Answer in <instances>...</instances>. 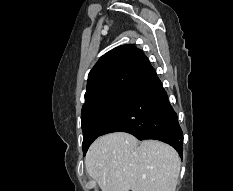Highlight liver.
Listing matches in <instances>:
<instances>
[{
    "label": "liver",
    "instance_id": "1",
    "mask_svg": "<svg viewBox=\"0 0 233 191\" xmlns=\"http://www.w3.org/2000/svg\"><path fill=\"white\" fill-rule=\"evenodd\" d=\"M181 161L174 148L157 140H138L125 132L97 138L85 167L102 191H175Z\"/></svg>",
    "mask_w": 233,
    "mask_h": 191
}]
</instances>
